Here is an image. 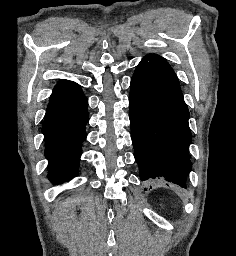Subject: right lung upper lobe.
<instances>
[{
  "label": "right lung upper lobe",
  "mask_w": 236,
  "mask_h": 256,
  "mask_svg": "<svg viewBox=\"0 0 236 256\" xmlns=\"http://www.w3.org/2000/svg\"><path fill=\"white\" fill-rule=\"evenodd\" d=\"M76 83L70 80L62 79L58 82V84L54 87L53 94L51 95L50 99L54 96L60 94L62 91L66 90L69 87H72Z\"/></svg>",
  "instance_id": "1"
}]
</instances>
